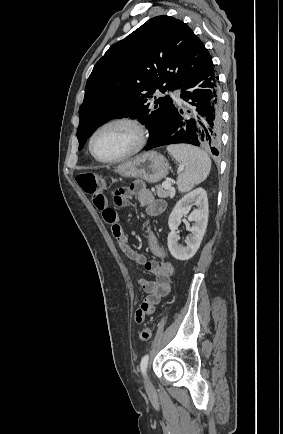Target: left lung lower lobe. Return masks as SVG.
<instances>
[{"instance_id":"0a47b994","label":"left lung lower lobe","mask_w":283,"mask_h":434,"mask_svg":"<svg viewBox=\"0 0 283 434\" xmlns=\"http://www.w3.org/2000/svg\"><path fill=\"white\" fill-rule=\"evenodd\" d=\"M180 97L190 110L185 113L175 107L170 120L158 137L146 150L155 147L187 143L210 148L218 155L221 137V93L213 62L186 81L180 89Z\"/></svg>"}]
</instances>
